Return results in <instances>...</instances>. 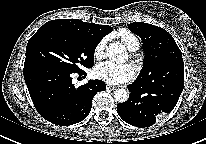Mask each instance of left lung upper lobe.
<instances>
[{"instance_id":"left-lung-upper-lobe-1","label":"left lung upper lobe","mask_w":206,"mask_h":144,"mask_svg":"<svg viewBox=\"0 0 206 144\" xmlns=\"http://www.w3.org/2000/svg\"><path fill=\"white\" fill-rule=\"evenodd\" d=\"M128 27L141 37L145 53L136 83L149 87L184 76L181 51L166 30L144 22H133Z\"/></svg>"}]
</instances>
